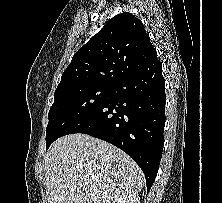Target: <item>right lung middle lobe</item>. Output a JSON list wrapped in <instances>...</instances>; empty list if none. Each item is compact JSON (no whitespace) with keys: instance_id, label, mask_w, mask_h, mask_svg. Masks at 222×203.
<instances>
[{"instance_id":"1","label":"right lung middle lobe","mask_w":222,"mask_h":203,"mask_svg":"<svg viewBox=\"0 0 222 203\" xmlns=\"http://www.w3.org/2000/svg\"><path fill=\"white\" fill-rule=\"evenodd\" d=\"M111 87L83 85L55 91L48 114L46 149L72 123L88 115L110 95Z\"/></svg>"}]
</instances>
